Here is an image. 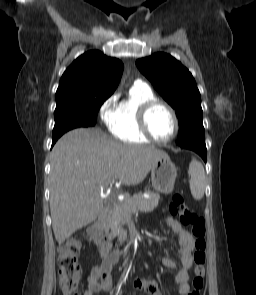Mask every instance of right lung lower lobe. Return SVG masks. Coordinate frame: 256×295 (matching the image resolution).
Masks as SVG:
<instances>
[{"label": "right lung lower lobe", "mask_w": 256, "mask_h": 295, "mask_svg": "<svg viewBox=\"0 0 256 295\" xmlns=\"http://www.w3.org/2000/svg\"><path fill=\"white\" fill-rule=\"evenodd\" d=\"M96 123L95 120H92V119H89L87 121V124L84 126V127H89V126H94ZM65 132H62V133H57V134H53V137H52V146L55 144V142L58 140V138L60 136H62Z\"/></svg>", "instance_id": "obj_1"}]
</instances>
